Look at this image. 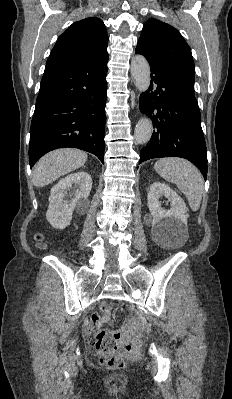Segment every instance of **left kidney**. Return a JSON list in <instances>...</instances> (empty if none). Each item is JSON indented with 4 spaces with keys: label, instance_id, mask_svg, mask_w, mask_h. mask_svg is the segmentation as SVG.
I'll list each match as a JSON object with an SVG mask.
<instances>
[{
    "label": "left kidney",
    "instance_id": "obj_1",
    "mask_svg": "<svg viewBox=\"0 0 232 399\" xmlns=\"http://www.w3.org/2000/svg\"><path fill=\"white\" fill-rule=\"evenodd\" d=\"M171 201L170 209L161 207L159 198ZM148 205L152 219L151 235L158 245H170L188 239L187 217H189L185 201L163 182L152 184L148 192Z\"/></svg>",
    "mask_w": 232,
    "mask_h": 399
}]
</instances>
